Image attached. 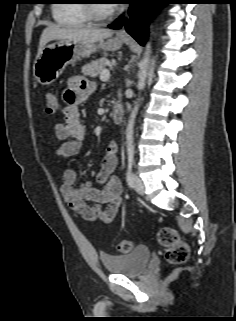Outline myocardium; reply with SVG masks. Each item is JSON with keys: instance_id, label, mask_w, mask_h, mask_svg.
Masks as SVG:
<instances>
[{"instance_id": "myocardium-1", "label": "myocardium", "mask_w": 236, "mask_h": 321, "mask_svg": "<svg viewBox=\"0 0 236 321\" xmlns=\"http://www.w3.org/2000/svg\"><path fill=\"white\" fill-rule=\"evenodd\" d=\"M83 8L88 20L94 25H100L110 21L117 14V9L112 5V8L104 15H100L95 7L96 0H83Z\"/></svg>"}]
</instances>
